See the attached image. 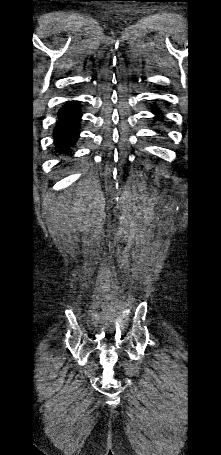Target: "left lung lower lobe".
Masks as SVG:
<instances>
[{
	"label": "left lung lower lobe",
	"instance_id": "obj_1",
	"mask_svg": "<svg viewBox=\"0 0 221 455\" xmlns=\"http://www.w3.org/2000/svg\"><path fill=\"white\" fill-rule=\"evenodd\" d=\"M153 113H154V114H156V115H157V117H159V116H160V113H159V111H158V110H154V111H153Z\"/></svg>",
	"mask_w": 221,
	"mask_h": 455
}]
</instances>
